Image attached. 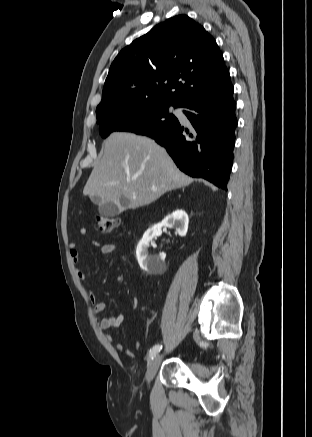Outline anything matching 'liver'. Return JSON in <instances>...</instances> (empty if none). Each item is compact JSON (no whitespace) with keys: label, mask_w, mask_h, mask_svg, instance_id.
I'll list each match as a JSON object with an SVG mask.
<instances>
[{"label":"liver","mask_w":312,"mask_h":437,"mask_svg":"<svg viewBox=\"0 0 312 437\" xmlns=\"http://www.w3.org/2000/svg\"><path fill=\"white\" fill-rule=\"evenodd\" d=\"M192 181L153 139L115 132L104 141V154L93 168L83 194L117 204L124 198L128 205L122 209H136Z\"/></svg>","instance_id":"1"}]
</instances>
